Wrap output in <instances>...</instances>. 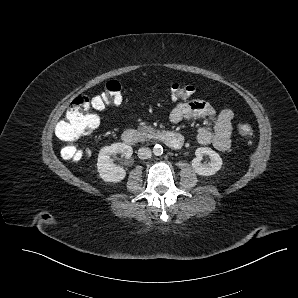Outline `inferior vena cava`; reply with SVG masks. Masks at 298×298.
<instances>
[{
	"mask_svg": "<svg viewBox=\"0 0 298 298\" xmlns=\"http://www.w3.org/2000/svg\"><path fill=\"white\" fill-rule=\"evenodd\" d=\"M152 156V152L147 147H141L138 150V157L141 159H148Z\"/></svg>",
	"mask_w": 298,
	"mask_h": 298,
	"instance_id": "602c4592",
	"label": "inferior vena cava"
}]
</instances>
